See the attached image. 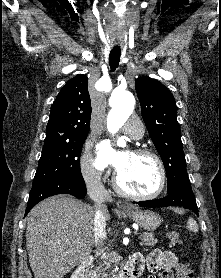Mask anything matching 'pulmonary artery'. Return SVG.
<instances>
[{
    "label": "pulmonary artery",
    "mask_w": 221,
    "mask_h": 278,
    "mask_svg": "<svg viewBox=\"0 0 221 278\" xmlns=\"http://www.w3.org/2000/svg\"><path fill=\"white\" fill-rule=\"evenodd\" d=\"M124 134L133 138L140 139L144 134V126L140 121L130 119L122 127Z\"/></svg>",
    "instance_id": "obj_1"
}]
</instances>
